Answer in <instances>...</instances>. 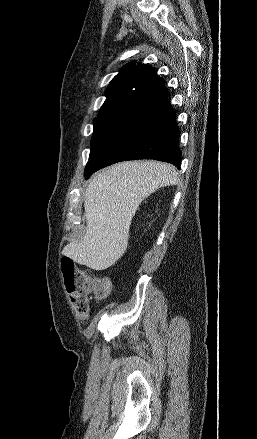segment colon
I'll list each match as a JSON object with an SVG mask.
<instances>
[{"label":"colon","mask_w":257,"mask_h":439,"mask_svg":"<svg viewBox=\"0 0 257 439\" xmlns=\"http://www.w3.org/2000/svg\"><path fill=\"white\" fill-rule=\"evenodd\" d=\"M66 290L71 304L80 317H87L90 298H104L111 290V282L105 276H91L79 270L70 259L61 261Z\"/></svg>","instance_id":"5ec220e1"}]
</instances>
